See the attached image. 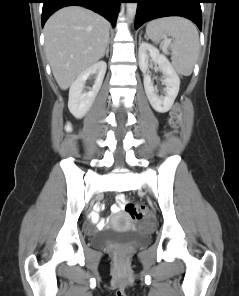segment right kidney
Masks as SVG:
<instances>
[{
	"instance_id": "obj_1",
	"label": "right kidney",
	"mask_w": 239,
	"mask_h": 296,
	"mask_svg": "<svg viewBox=\"0 0 239 296\" xmlns=\"http://www.w3.org/2000/svg\"><path fill=\"white\" fill-rule=\"evenodd\" d=\"M107 64L105 61H99L85 71H83L71 84L69 90L68 108L76 118H82L92 106L96 95L98 94L105 73ZM95 76V82L88 92H85L86 80Z\"/></svg>"
}]
</instances>
